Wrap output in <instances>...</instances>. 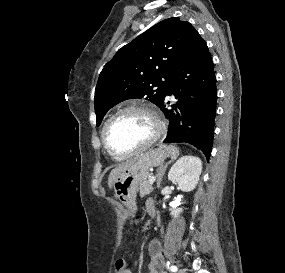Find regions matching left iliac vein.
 Returning <instances> with one entry per match:
<instances>
[{
	"label": "left iliac vein",
	"mask_w": 285,
	"mask_h": 273,
	"mask_svg": "<svg viewBox=\"0 0 285 273\" xmlns=\"http://www.w3.org/2000/svg\"><path fill=\"white\" fill-rule=\"evenodd\" d=\"M178 273H186L184 269H179Z\"/></svg>",
	"instance_id": "left-iliac-vein-1"
}]
</instances>
